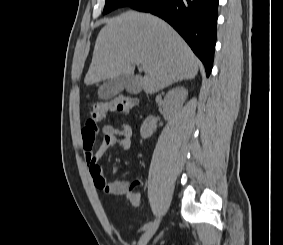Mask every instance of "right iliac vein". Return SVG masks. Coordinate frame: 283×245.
<instances>
[{
	"instance_id": "63e3f726",
	"label": "right iliac vein",
	"mask_w": 283,
	"mask_h": 245,
	"mask_svg": "<svg viewBox=\"0 0 283 245\" xmlns=\"http://www.w3.org/2000/svg\"><path fill=\"white\" fill-rule=\"evenodd\" d=\"M160 225V219H156L151 227L146 230V232L141 236L138 245H146L147 242L152 238V236L155 234L157 231L158 227Z\"/></svg>"
}]
</instances>
